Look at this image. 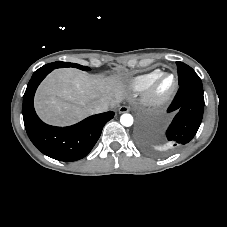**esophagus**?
Masks as SVG:
<instances>
[{
	"mask_svg": "<svg viewBox=\"0 0 227 227\" xmlns=\"http://www.w3.org/2000/svg\"><path fill=\"white\" fill-rule=\"evenodd\" d=\"M118 111H119V113H126L129 111V107L126 105L120 106Z\"/></svg>",
	"mask_w": 227,
	"mask_h": 227,
	"instance_id": "esophagus-1",
	"label": "esophagus"
}]
</instances>
